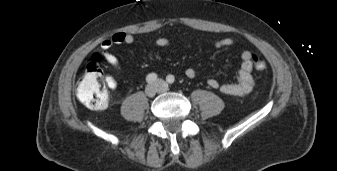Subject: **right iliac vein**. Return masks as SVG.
Listing matches in <instances>:
<instances>
[{
  "mask_svg": "<svg viewBox=\"0 0 337 171\" xmlns=\"http://www.w3.org/2000/svg\"><path fill=\"white\" fill-rule=\"evenodd\" d=\"M159 89L156 85H148L145 89V93L148 97H154L158 93Z\"/></svg>",
  "mask_w": 337,
  "mask_h": 171,
  "instance_id": "63e3f726",
  "label": "right iliac vein"
}]
</instances>
